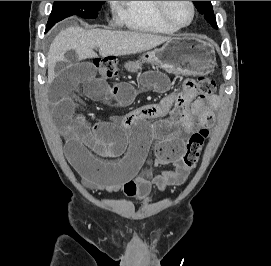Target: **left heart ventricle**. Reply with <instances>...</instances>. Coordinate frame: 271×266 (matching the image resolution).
Masks as SVG:
<instances>
[{"label": "left heart ventricle", "instance_id": "1", "mask_svg": "<svg viewBox=\"0 0 271 266\" xmlns=\"http://www.w3.org/2000/svg\"><path fill=\"white\" fill-rule=\"evenodd\" d=\"M169 16L178 24L185 25L191 19V7L187 1H168Z\"/></svg>", "mask_w": 271, "mask_h": 266}]
</instances>
